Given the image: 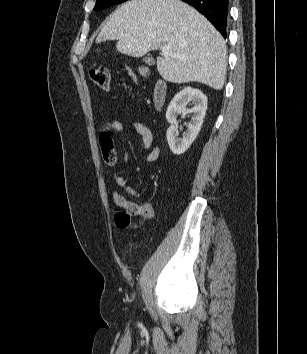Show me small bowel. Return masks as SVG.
Segmentation results:
<instances>
[{
	"mask_svg": "<svg viewBox=\"0 0 307 354\" xmlns=\"http://www.w3.org/2000/svg\"><path fill=\"white\" fill-rule=\"evenodd\" d=\"M125 130H132L141 136L142 149L144 151H148L142 156V159L144 161L155 162L159 158L161 149L159 146H153L154 134L147 125L139 121H130L126 124L120 121H111L105 125L104 129L100 134V145L102 149L103 158L109 166H114L117 162V156L113 147V141L110 135V131L121 133ZM113 179L115 184L128 195L134 198H138L140 196V193L129 185H127L124 179L116 172H113ZM114 199L118 204H125L127 206L136 205V203L127 201L118 194L114 195Z\"/></svg>",
	"mask_w": 307,
	"mask_h": 354,
	"instance_id": "obj_1",
	"label": "small bowel"
}]
</instances>
